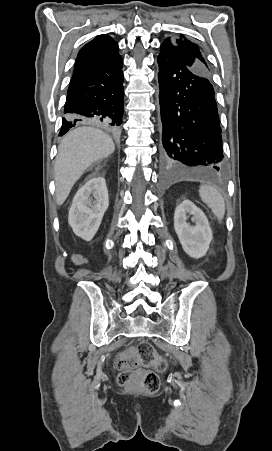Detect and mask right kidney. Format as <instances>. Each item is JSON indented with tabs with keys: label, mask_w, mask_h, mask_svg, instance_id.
Returning <instances> with one entry per match:
<instances>
[{
	"label": "right kidney",
	"mask_w": 272,
	"mask_h": 451,
	"mask_svg": "<svg viewBox=\"0 0 272 451\" xmlns=\"http://www.w3.org/2000/svg\"><path fill=\"white\" fill-rule=\"evenodd\" d=\"M94 198V200H93ZM109 206L105 178H92L73 198L68 222L74 233L90 241L94 237Z\"/></svg>",
	"instance_id": "right-kidney-1"
}]
</instances>
